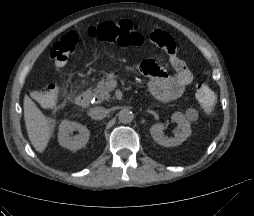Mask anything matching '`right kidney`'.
<instances>
[{
	"label": "right kidney",
	"mask_w": 254,
	"mask_h": 216,
	"mask_svg": "<svg viewBox=\"0 0 254 216\" xmlns=\"http://www.w3.org/2000/svg\"><path fill=\"white\" fill-rule=\"evenodd\" d=\"M74 131L79 134L72 136ZM90 136V131L87 127L80 123L63 120L59 125L58 140L62 147L76 151L84 147Z\"/></svg>",
	"instance_id": "right-kidney-1"
}]
</instances>
